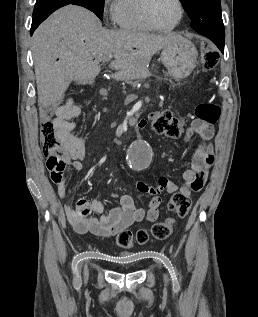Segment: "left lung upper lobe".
<instances>
[{
  "mask_svg": "<svg viewBox=\"0 0 258 317\" xmlns=\"http://www.w3.org/2000/svg\"><path fill=\"white\" fill-rule=\"evenodd\" d=\"M192 20L193 29L215 27L224 29L220 0H180Z\"/></svg>",
  "mask_w": 258,
  "mask_h": 317,
  "instance_id": "5c2ea615",
  "label": "left lung upper lobe"
}]
</instances>
